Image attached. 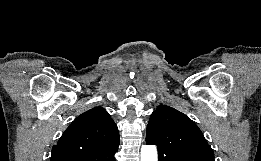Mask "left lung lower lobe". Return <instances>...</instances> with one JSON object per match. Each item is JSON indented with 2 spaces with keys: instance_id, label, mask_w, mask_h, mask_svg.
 <instances>
[{
  "instance_id": "0a47b994",
  "label": "left lung lower lobe",
  "mask_w": 261,
  "mask_h": 161,
  "mask_svg": "<svg viewBox=\"0 0 261 161\" xmlns=\"http://www.w3.org/2000/svg\"><path fill=\"white\" fill-rule=\"evenodd\" d=\"M147 144L153 143L147 142ZM157 149L159 161H214L213 157H210L206 154L180 147H168L157 145Z\"/></svg>"
}]
</instances>
